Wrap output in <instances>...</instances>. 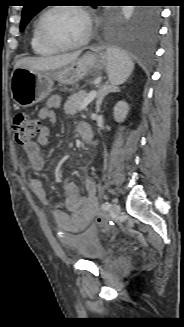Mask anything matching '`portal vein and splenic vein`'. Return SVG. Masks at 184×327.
<instances>
[{"mask_svg":"<svg viewBox=\"0 0 184 327\" xmlns=\"http://www.w3.org/2000/svg\"><path fill=\"white\" fill-rule=\"evenodd\" d=\"M96 97V91L93 90L89 93V95L84 99L82 105H81V109H84L86 106H88Z\"/></svg>","mask_w":184,"mask_h":327,"instance_id":"18ae733b","label":"portal vein and splenic vein"}]
</instances>
